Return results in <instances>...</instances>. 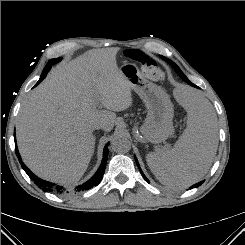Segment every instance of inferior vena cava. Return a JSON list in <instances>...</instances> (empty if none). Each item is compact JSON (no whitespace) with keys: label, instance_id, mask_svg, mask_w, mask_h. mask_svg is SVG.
<instances>
[{"label":"inferior vena cava","instance_id":"1","mask_svg":"<svg viewBox=\"0 0 245 245\" xmlns=\"http://www.w3.org/2000/svg\"><path fill=\"white\" fill-rule=\"evenodd\" d=\"M95 129H103L104 128V125L103 124H96L94 126Z\"/></svg>","mask_w":245,"mask_h":245}]
</instances>
